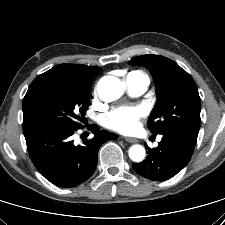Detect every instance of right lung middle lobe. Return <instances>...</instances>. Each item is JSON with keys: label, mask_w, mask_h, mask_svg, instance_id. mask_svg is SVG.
<instances>
[{"label": "right lung middle lobe", "mask_w": 225, "mask_h": 225, "mask_svg": "<svg viewBox=\"0 0 225 225\" xmlns=\"http://www.w3.org/2000/svg\"><path fill=\"white\" fill-rule=\"evenodd\" d=\"M94 78L67 70H48L34 79L23 99V122L54 121L82 128Z\"/></svg>", "instance_id": "right-lung-middle-lobe-1"}]
</instances>
